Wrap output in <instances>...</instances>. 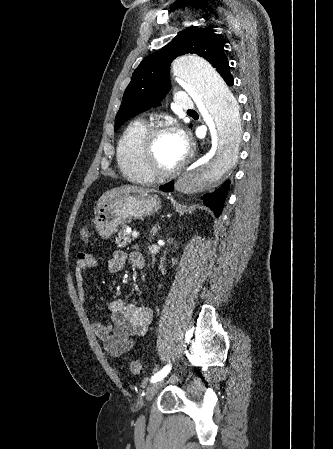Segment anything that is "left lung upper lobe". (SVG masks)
<instances>
[{
    "label": "left lung upper lobe",
    "instance_id": "obj_1",
    "mask_svg": "<svg viewBox=\"0 0 333 449\" xmlns=\"http://www.w3.org/2000/svg\"><path fill=\"white\" fill-rule=\"evenodd\" d=\"M187 53L205 58L221 76L229 72L224 42L218 34L209 28H187L165 47L147 56L136 68L116 115L115 130L126 120L160 103L171 88V62L177 56Z\"/></svg>",
    "mask_w": 333,
    "mask_h": 449
}]
</instances>
